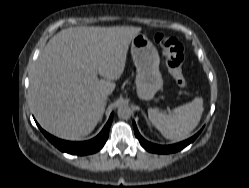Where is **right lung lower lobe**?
I'll use <instances>...</instances> for the list:
<instances>
[{"mask_svg": "<svg viewBox=\"0 0 249 188\" xmlns=\"http://www.w3.org/2000/svg\"><path fill=\"white\" fill-rule=\"evenodd\" d=\"M112 119H113V113L110 115L107 124L100 132V134L97 137L84 142H70V141L60 140L58 138L49 135L42 129L41 131L46 136V138L59 150L75 155H87L99 151L104 146L106 140L108 139L109 128L111 126Z\"/></svg>", "mask_w": 249, "mask_h": 188, "instance_id": "98d812e1", "label": "right lung lower lobe"}]
</instances>
